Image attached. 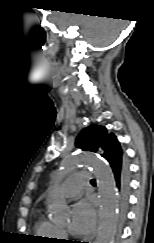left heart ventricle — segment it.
<instances>
[{
  "instance_id": "b2bd125f",
  "label": "left heart ventricle",
  "mask_w": 154,
  "mask_h": 243,
  "mask_svg": "<svg viewBox=\"0 0 154 243\" xmlns=\"http://www.w3.org/2000/svg\"><path fill=\"white\" fill-rule=\"evenodd\" d=\"M67 226H68V223H66V224L62 225V227H67Z\"/></svg>"
}]
</instances>
